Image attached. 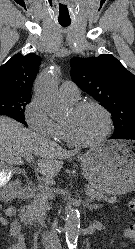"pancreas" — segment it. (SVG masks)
<instances>
[{
    "mask_svg": "<svg viewBox=\"0 0 135 249\" xmlns=\"http://www.w3.org/2000/svg\"><path fill=\"white\" fill-rule=\"evenodd\" d=\"M47 189L48 190H42L41 192L37 193L33 201L21 210L23 221L30 222L37 220L40 215L45 214L46 208L48 206V199L53 198L52 191L49 188ZM87 194L91 199L105 200L109 203L117 202L115 197H107L103 193H100L93 188H88Z\"/></svg>",
    "mask_w": 135,
    "mask_h": 249,
    "instance_id": "cf45deb5",
    "label": "pancreas"
}]
</instances>
